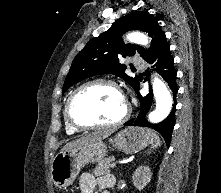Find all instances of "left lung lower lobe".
Here are the masks:
<instances>
[{
    "mask_svg": "<svg viewBox=\"0 0 221 193\" xmlns=\"http://www.w3.org/2000/svg\"><path fill=\"white\" fill-rule=\"evenodd\" d=\"M148 63L152 64L153 68H156V71L164 78L167 82L170 90L173 94L174 104L171 113L165 118L163 121L159 123H150L146 119V114L151 107L153 94L152 91L145 97H142L138 93V88L135 89L136 93H138L139 101H140V109L141 112L138 117L129 120L125 123L126 126H142L153 128L158 131L164 138L166 145L169 147L171 141V134L173 127L175 125V111H176V95L178 92V86L176 83V75L177 72L174 68V59L170 53V46L167 41H164L160 47L152 54V56L146 60ZM151 90V88H150Z\"/></svg>",
    "mask_w": 221,
    "mask_h": 193,
    "instance_id": "left-lung-lower-lobe-1",
    "label": "left lung lower lobe"
}]
</instances>
